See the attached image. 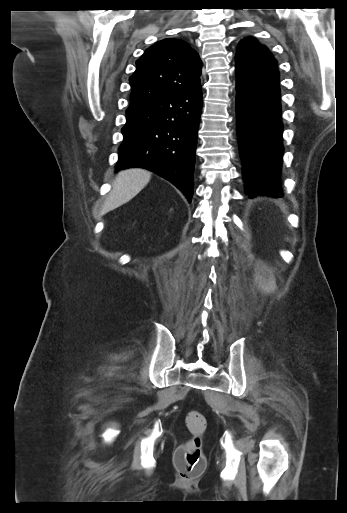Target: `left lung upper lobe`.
<instances>
[{
  "label": "left lung upper lobe",
  "instance_id": "1",
  "mask_svg": "<svg viewBox=\"0 0 347 513\" xmlns=\"http://www.w3.org/2000/svg\"><path fill=\"white\" fill-rule=\"evenodd\" d=\"M236 59L248 61L261 66H277V62L269 50L265 46L260 45L258 41L251 36L244 38L239 43Z\"/></svg>",
  "mask_w": 347,
  "mask_h": 513
}]
</instances>
